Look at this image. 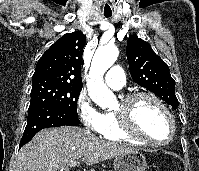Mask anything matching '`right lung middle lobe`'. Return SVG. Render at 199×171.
I'll use <instances>...</instances> for the list:
<instances>
[{"mask_svg":"<svg viewBox=\"0 0 199 171\" xmlns=\"http://www.w3.org/2000/svg\"><path fill=\"white\" fill-rule=\"evenodd\" d=\"M82 86L55 80H32L30 105L52 103L64 110L77 114V99Z\"/></svg>","mask_w":199,"mask_h":171,"instance_id":"dd1d6c3e","label":"right lung middle lobe"}]
</instances>
